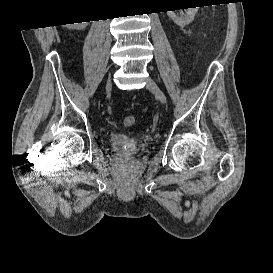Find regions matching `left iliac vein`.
I'll return each mask as SVG.
<instances>
[{
  "instance_id": "left-iliac-vein-1",
  "label": "left iliac vein",
  "mask_w": 273,
  "mask_h": 273,
  "mask_svg": "<svg viewBox=\"0 0 273 273\" xmlns=\"http://www.w3.org/2000/svg\"><path fill=\"white\" fill-rule=\"evenodd\" d=\"M146 85L147 88L154 93V95L156 96V98L162 103L165 104L166 103V96L163 93V91L159 88V86L157 85V83L152 79V78H147L146 81Z\"/></svg>"
}]
</instances>
